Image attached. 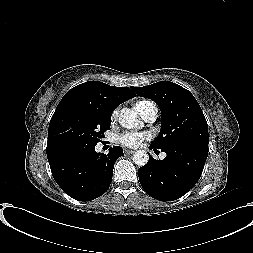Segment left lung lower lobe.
<instances>
[{
    "instance_id": "obj_1",
    "label": "left lung lower lobe",
    "mask_w": 253,
    "mask_h": 253,
    "mask_svg": "<svg viewBox=\"0 0 253 253\" xmlns=\"http://www.w3.org/2000/svg\"><path fill=\"white\" fill-rule=\"evenodd\" d=\"M150 149L157 148L150 145ZM163 160L150 156L146 165L139 168L142 188L160 201H173L185 195L199 180L208 152L188 146H173L162 150Z\"/></svg>"
}]
</instances>
